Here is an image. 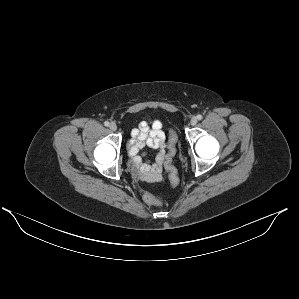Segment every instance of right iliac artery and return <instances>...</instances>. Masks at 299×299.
Instances as JSON below:
<instances>
[{"mask_svg": "<svg viewBox=\"0 0 299 299\" xmlns=\"http://www.w3.org/2000/svg\"><path fill=\"white\" fill-rule=\"evenodd\" d=\"M104 125L108 127V126H109V122H108V121H105V122H104Z\"/></svg>", "mask_w": 299, "mask_h": 299, "instance_id": "obj_1", "label": "right iliac artery"}]
</instances>
